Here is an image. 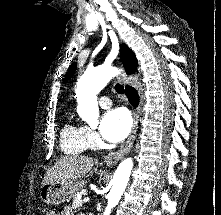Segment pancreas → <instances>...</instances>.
Instances as JSON below:
<instances>
[{
    "label": "pancreas",
    "mask_w": 221,
    "mask_h": 215,
    "mask_svg": "<svg viewBox=\"0 0 221 215\" xmlns=\"http://www.w3.org/2000/svg\"><path fill=\"white\" fill-rule=\"evenodd\" d=\"M86 194H87L86 190H81L78 194H76L73 197V202H72V208L73 209H77V208H80L82 206V200H81V198H79V196L86 195Z\"/></svg>",
    "instance_id": "pancreas-1"
}]
</instances>
